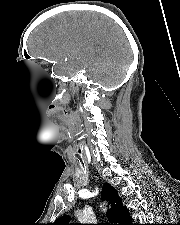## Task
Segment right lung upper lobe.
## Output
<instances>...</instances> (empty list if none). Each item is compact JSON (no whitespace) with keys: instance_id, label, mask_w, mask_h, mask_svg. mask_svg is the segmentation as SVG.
I'll use <instances>...</instances> for the list:
<instances>
[{"instance_id":"1","label":"right lung upper lobe","mask_w":180,"mask_h":225,"mask_svg":"<svg viewBox=\"0 0 180 225\" xmlns=\"http://www.w3.org/2000/svg\"><path fill=\"white\" fill-rule=\"evenodd\" d=\"M102 199L108 201V218L111 224L108 225H131V219L125 207H122L121 198L118 192L110 184L105 183L102 188ZM70 217L63 216L52 225H73L69 224Z\"/></svg>"}]
</instances>
